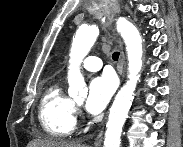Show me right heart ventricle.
<instances>
[{"label":"right heart ventricle","mask_w":183,"mask_h":147,"mask_svg":"<svg viewBox=\"0 0 183 147\" xmlns=\"http://www.w3.org/2000/svg\"><path fill=\"white\" fill-rule=\"evenodd\" d=\"M76 106L60 84L51 85L44 93L39 118L46 133L53 137L70 136L76 125Z\"/></svg>","instance_id":"1"}]
</instances>
